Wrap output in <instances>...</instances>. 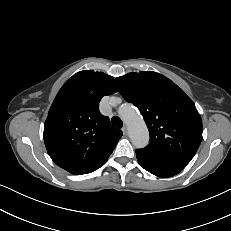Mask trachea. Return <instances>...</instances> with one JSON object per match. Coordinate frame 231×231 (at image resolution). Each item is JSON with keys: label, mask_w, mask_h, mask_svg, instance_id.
I'll return each instance as SVG.
<instances>
[{"label": "trachea", "mask_w": 231, "mask_h": 231, "mask_svg": "<svg viewBox=\"0 0 231 231\" xmlns=\"http://www.w3.org/2000/svg\"><path fill=\"white\" fill-rule=\"evenodd\" d=\"M112 124L116 127V128H121L123 126V122L122 120L118 117V116H113L112 119Z\"/></svg>", "instance_id": "obj_1"}]
</instances>
